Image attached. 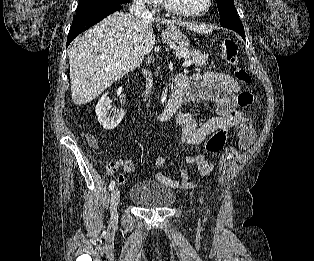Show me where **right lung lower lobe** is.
Segmentation results:
<instances>
[{"label":"right lung lower lobe","instance_id":"right-lung-lower-lobe-1","mask_svg":"<svg viewBox=\"0 0 314 261\" xmlns=\"http://www.w3.org/2000/svg\"><path fill=\"white\" fill-rule=\"evenodd\" d=\"M122 8L123 6L121 4L113 3L90 10L81 15H76L73 19L72 26L69 31V35L67 38V46L80 33L84 32L94 24L98 23L111 13Z\"/></svg>","mask_w":314,"mask_h":261}]
</instances>
